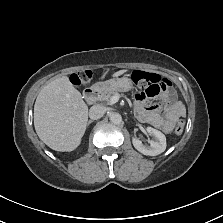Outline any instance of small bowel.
I'll return each instance as SVG.
<instances>
[{
	"mask_svg": "<svg viewBox=\"0 0 223 223\" xmlns=\"http://www.w3.org/2000/svg\"><path fill=\"white\" fill-rule=\"evenodd\" d=\"M159 97L162 103L148 104V98ZM135 110L138 117L165 133L173 130L179 117L185 115V107L176 99L171 83L165 79L163 88H146L135 96Z\"/></svg>",
	"mask_w": 223,
	"mask_h": 223,
	"instance_id": "1",
	"label": "small bowel"
}]
</instances>
